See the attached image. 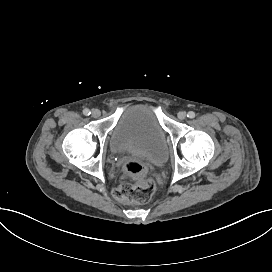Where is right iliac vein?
<instances>
[{
	"mask_svg": "<svg viewBox=\"0 0 272 272\" xmlns=\"http://www.w3.org/2000/svg\"><path fill=\"white\" fill-rule=\"evenodd\" d=\"M92 117L98 118L101 115V112L98 109H94L91 113Z\"/></svg>",
	"mask_w": 272,
	"mask_h": 272,
	"instance_id": "1",
	"label": "right iliac vein"
}]
</instances>
